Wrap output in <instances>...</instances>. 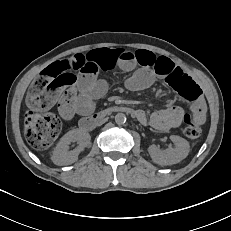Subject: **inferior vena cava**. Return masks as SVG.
Wrapping results in <instances>:
<instances>
[{
  "instance_id": "inferior-vena-cava-1",
  "label": "inferior vena cava",
  "mask_w": 231,
  "mask_h": 231,
  "mask_svg": "<svg viewBox=\"0 0 231 231\" xmlns=\"http://www.w3.org/2000/svg\"><path fill=\"white\" fill-rule=\"evenodd\" d=\"M110 119H111V118H110L109 116H108V117H105V118H103V119H101V120L98 122V126H99L100 128H102L106 122H109V121H110Z\"/></svg>"
}]
</instances>
